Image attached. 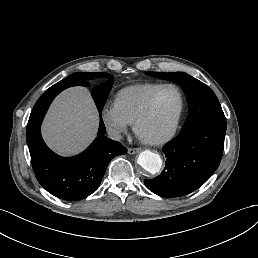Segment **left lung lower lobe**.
Returning a JSON list of instances; mask_svg holds the SVG:
<instances>
[{
  "mask_svg": "<svg viewBox=\"0 0 258 258\" xmlns=\"http://www.w3.org/2000/svg\"><path fill=\"white\" fill-rule=\"evenodd\" d=\"M225 130L209 125L179 134L163 147L166 166L156 178L144 180L146 187L167 198L185 196L198 189L220 164Z\"/></svg>",
  "mask_w": 258,
  "mask_h": 258,
  "instance_id": "left-lung-lower-lobe-1",
  "label": "left lung lower lobe"
}]
</instances>
